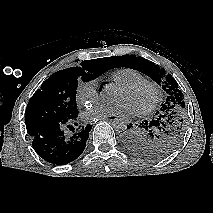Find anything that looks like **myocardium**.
I'll return each instance as SVG.
<instances>
[{"label": "myocardium", "instance_id": "myocardium-1", "mask_svg": "<svg viewBox=\"0 0 213 213\" xmlns=\"http://www.w3.org/2000/svg\"><path fill=\"white\" fill-rule=\"evenodd\" d=\"M142 86H147L151 89L153 98H152V102L147 107L140 110H133L137 116H144L156 110L160 100V90L158 85L151 80L142 79V80H138V81L120 86L121 89H124L127 91H133Z\"/></svg>", "mask_w": 213, "mask_h": 213}]
</instances>
